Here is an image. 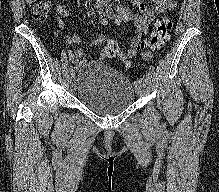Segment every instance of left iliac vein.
Listing matches in <instances>:
<instances>
[{
	"instance_id": "obj_1",
	"label": "left iliac vein",
	"mask_w": 219,
	"mask_h": 192,
	"mask_svg": "<svg viewBox=\"0 0 219 192\" xmlns=\"http://www.w3.org/2000/svg\"><path fill=\"white\" fill-rule=\"evenodd\" d=\"M149 86H150L149 78L146 77L145 79L138 80L136 83V92L141 96L145 95L149 91Z\"/></svg>"
}]
</instances>
